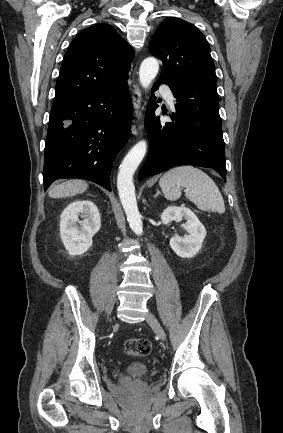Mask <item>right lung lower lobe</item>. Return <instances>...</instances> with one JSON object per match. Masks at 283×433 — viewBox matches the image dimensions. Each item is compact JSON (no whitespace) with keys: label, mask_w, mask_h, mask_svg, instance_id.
Segmentation results:
<instances>
[{"label":"right lung lower lobe","mask_w":283,"mask_h":433,"mask_svg":"<svg viewBox=\"0 0 283 433\" xmlns=\"http://www.w3.org/2000/svg\"><path fill=\"white\" fill-rule=\"evenodd\" d=\"M127 79L114 88L53 102L44 191L60 178L87 179L111 191L112 163L128 140L133 114Z\"/></svg>","instance_id":"1"}]
</instances>
